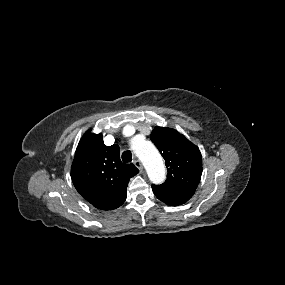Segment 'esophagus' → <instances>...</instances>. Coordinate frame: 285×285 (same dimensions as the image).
<instances>
[{"label":"esophagus","mask_w":285,"mask_h":285,"mask_svg":"<svg viewBox=\"0 0 285 285\" xmlns=\"http://www.w3.org/2000/svg\"><path fill=\"white\" fill-rule=\"evenodd\" d=\"M133 163L141 172L143 171L142 163L139 160H134Z\"/></svg>","instance_id":"1"}]
</instances>
